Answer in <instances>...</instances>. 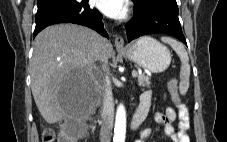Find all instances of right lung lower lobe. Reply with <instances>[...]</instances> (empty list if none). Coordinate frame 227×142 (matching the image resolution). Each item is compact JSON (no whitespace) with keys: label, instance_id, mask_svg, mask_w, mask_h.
Returning a JSON list of instances; mask_svg holds the SVG:
<instances>
[{"label":"right lung lower lobe","instance_id":"98d812e1","mask_svg":"<svg viewBox=\"0 0 227 142\" xmlns=\"http://www.w3.org/2000/svg\"><path fill=\"white\" fill-rule=\"evenodd\" d=\"M35 21L34 37L49 25L66 22L88 26L108 38L102 15L97 9L89 7L88 0L38 8Z\"/></svg>","mask_w":227,"mask_h":142}]
</instances>
